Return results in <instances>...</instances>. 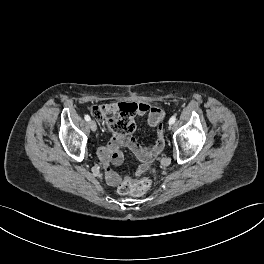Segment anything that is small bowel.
I'll return each mask as SVG.
<instances>
[{
	"mask_svg": "<svg viewBox=\"0 0 264 264\" xmlns=\"http://www.w3.org/2000/svg\"><path fill=\"white\" fill-rule=\"evenodd\" d=\"M138 116H147L149 126L157 132L155 141L142 147L130 136L121 135L111 130L112 136L109 142L98 149V157L104 165L106 180L109 185L116 186L119 175L112 169L111 165H120L123 162L122 148H129L143 163L151 162L163 149V141H158V128L165 117V111L157 106L146 103H135Z\"/></svg>",
	"mask_w": 264,
	"mask_h": 264,
	"instance_id": "small-bowel-1",
	"label": "small bowel"
}]
</instances>
